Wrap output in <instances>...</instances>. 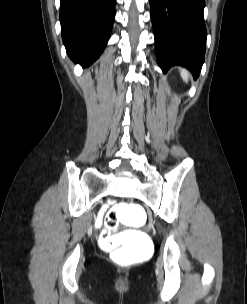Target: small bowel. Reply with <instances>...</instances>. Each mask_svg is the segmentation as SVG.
Returning a JSON list of instances; mask_svg holds the SVG:
<instances>
[{"label":"small bowel","instance_id":"c3829d8e","mask_svg":"<svg viewBox=\"0 0 247 304\" xmlns=\"http://www.w3.org/2000/svg\"><path fill=\"white\" fill-rule=\"evenodd\" d=\"M102 220H103V216L100 215L99 218H98V220H97V225H98V226L101 225Z\"/></svg>","mask_w":247,"mask_h":304}]
</instances>
